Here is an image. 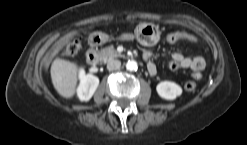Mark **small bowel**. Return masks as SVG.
<instances>
[{"label": "small bowel", "instance_id": "c3829d8e", "mask_svg": "<svg viewBox=\"0 0 247 145\" xmlns=\"http://www.w3.org/2000/svg\"><path fill=\"white\" fill-rule=\"evenodd\" d=\"M182 34L181 40H186L188 42L195 43L197 41V38L189 33L180 32ZM144 57L146 60H149L152 57V53L150 51H147L144 53ZM152 63V62H149ZM206 62L203 57L197 56V57H188L181 53H175L172 55L171 61H170V68L172 70L177 69H188L192 72V76L196 78V75L200 73L205 68ZM156 68V67H155ZM151 75H155V73L149 72Z\"/></svg>", "mask_w": 247, "mask_h": 145}]
</instances>
